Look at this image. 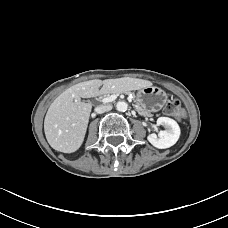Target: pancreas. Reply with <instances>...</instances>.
Wrapping results in <instances>:
<instances>
[{"label":"pancreas","mask_w":228,"mask_h":228,"mask_svg":"<svg viewBox=\"0 0 228 228\" xmlns=\"http://www.w3.org/2000/svg\"><path fill=\"white\" fill-rule=\"evenodd\" d=\"M111 93L120 94V95H124V96H129V98L132 100L133 107L136 109V111L139 114L147 116V117H153L154 116L153 112L146 111V110L142 109L138 105L137 99H136V95H135L134 91H123V90H120L119 92H111ZM107 94H109V93H107Z\"/></svg>","instance_id":"cf45deb5"}]
</instances>
